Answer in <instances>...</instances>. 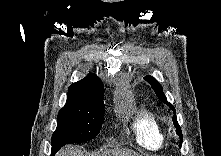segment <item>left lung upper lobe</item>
I'll list each match as a JSON object with an SVG mask.
<instances>
[{
  "mask_svg": "<svg viewBox=\"0 0 221 156\" xmlns=\"http://www.w3.org/2000/svg\"><path fill=\"white\" fill-rule=\"evenodd\" d=\"M146 81L150 83L152 86L153 90L155 91L156 95L166 104L168 105L175 113V108L171 103L167 102L166 96L163 93V88L162 86L158 83V81L153 78L152 76H146L145 77Z\"/></svg>",
  "mask_w": 221,
  "mask_h": 156,
  "instance_id": "obj_1",
  "label": "left lung upper lobe"
}]
</instances>
